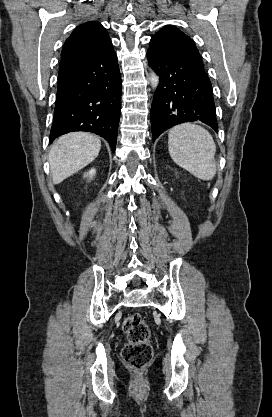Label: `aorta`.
Wrapping results in <instances>:
<instances>
[{
    "instance_id": "1",
    "label": "aorta",
    "mask_w": 272,
    "mask_h": 417,
    "mask_svg": "<svg viewBox=\"0 0 272 417\" xmlns=\"http://www.w3.org/2000/svg\"><path fill=\"white\" fill-rule=\"evenodd\" d=\"M149 81L153 89H156L159 85V77L155 72H151L149 76Z\"/></svg>"
}]
</instances>
